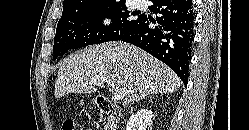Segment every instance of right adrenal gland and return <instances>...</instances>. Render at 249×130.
I'll return each mask as SVG.
<instances>
[{
  "label": "right adrenal gland",
  "instance_id": "1",
  "mask_svg": "<svg viewBox=\"0 0 249 130\" xmlns=\"http://www.w3.org/2000/svg\"><path fill=\"white\" fill-rule=\"evenodd\" d=\"M148 98H150V99H151V96H150V97H148ZM143 99H145V97H144ZM137 102H138V101H137Z\"/></svg>",
  "mask_w": 249,
  "mask_h": 130
}]
</instances>
